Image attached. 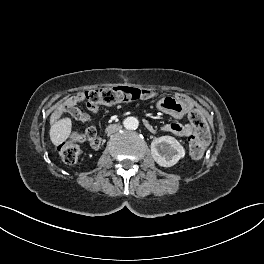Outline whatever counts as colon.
Here are the masks:
<instances>
[{
    "label": "colon",
    "mask_w": 264,
    "mask_h": 264,
    "mask_svg": "<svg viewBox=\"0 0 264 264\" xmlns=\"http://www.w3.org/2000/svg\"><path fill=\"white\" fill-rule=\"evenodd\" d=\"M141 96V91L130 87H108L77 93L68 99L70 104L86 102L88 106H112L119 103L134 101ZM188 118L195 131L189 138V150L194 158H200L205 152L209 142L210 133L202 113L193 108ZM88 140V135L76 132L72 137L58 145L57 149L62 160L69 165L76 164L80 157V143Z\"/></svg>",
    "instance_id": "obj_1"
}]
</instances>
